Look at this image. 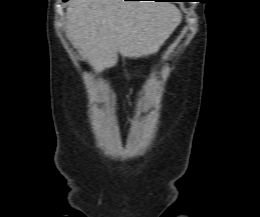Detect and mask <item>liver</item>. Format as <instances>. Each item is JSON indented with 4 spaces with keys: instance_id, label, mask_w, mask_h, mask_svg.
<instances>
[{
    "instance_id": "obj_1",
    "label": "liver",
    "mask_w": 260,
    "mask_h": 217,
    "mask_svg": "<svg viewBox=\"0 0 260 217\" xmlns=\"http://www.w3.org/2000/svg\"><path fill=\"white\" fill-rule=\"evenodd\" d=\"M168 2L71 0L66 11V36L83 60L97 71L122 57L156 53L181 21Z\"/></svg>"
}]
</instances>
